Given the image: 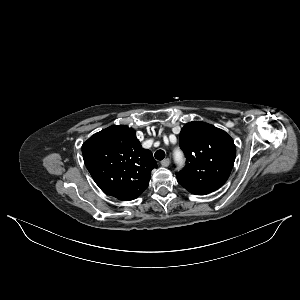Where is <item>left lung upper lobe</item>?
<instances>
[{"label": "left lung upper lobe", "mask_w": 300, "mask_h": 300, "mask_svg": "<svg viewBox=\"0 0 300 300\" xmlns=\"http://www.w3.org/2000/svg\"><path fill=\"white\" fill-rule=\"evenodd\" d=\"M180 147L186 156L185 168L177 180L189 192L206 195L228 179L236 156L233 139L213 125L192 121L180 133Z\"/></svg>", "instance_id": "obj_1"}]
</instances>
